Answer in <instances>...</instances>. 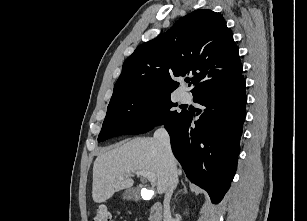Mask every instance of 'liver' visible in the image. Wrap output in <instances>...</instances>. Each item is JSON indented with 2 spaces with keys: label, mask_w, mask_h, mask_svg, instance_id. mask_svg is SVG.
I'll return each instance as SVG.
<instances>
[{
  "label": "liver",
  "mask_w": 307,
  "mask_h": 221,
  "mask_svg": "<svg viewBox=\"0 0 307 221\" xmlns=\"http://www.w3.org/2000/svg\"><path fill=\"white\" fill-rule=\"evenodd\" d=\"M177 175L182 170L177 169ZM149 171L156 176L157 193L163 194L169 184V159L164 147L151 137H139L100 153L93 165L92 198L102 203L115 192L132 187V173Z\"/></svg>",
  "instance_id": "obj_1"
}]
</instances>
